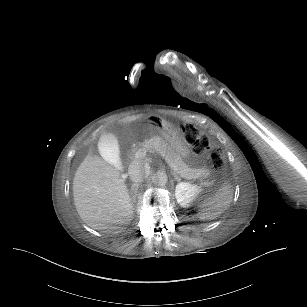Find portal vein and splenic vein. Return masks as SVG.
I'll return each mask as SVG.
<instances>
[{
	"mask_svg": "<svg viewBox=\"0 0 307 307\" xmlns=\"http://www.w3.org/2000/svg\"><path fill=\"white\" fill-rule=\"evenodd\" d=\"M148 152H149L148 149L145 148V147L142 148V149L141 148L136 149V151H135L136 160H138V161L143 160V158H145V156L148 154ZM167 162L169 163L170 161L168 160ZM169 164L176 169L177 174L181 173V170L178 169L175 164H173L172 162H170ZM181 176L184 177L185 179H187L188 181L192 180V178L190 177V174H188V173L182 172Z\"/></svg>",
	"mask_w": 307,
	"mask_h": 307,
	"instance_id": "obj_1",
	"label": "portal vein and splenic vein"
}]
</instances>
